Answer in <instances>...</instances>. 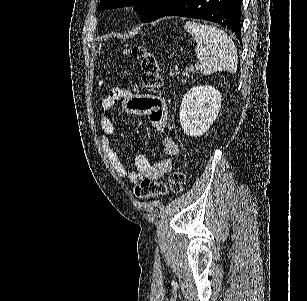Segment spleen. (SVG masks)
<instances>
[{
	"mask_svg": "<svg viewBox=\"0 0 307 301\" xmlns=\"http://www.w3.org/2000/svg\"><path fill=\"white\" fill-rule=\"evenodd\" d=\"M185 30L194 36L197 42L196 56L199 58V68L202 74H212L216 70L236 72L238 66L237 48L227 32L211 26L187 20Z\"/></svg>",
	"mask_w": 307,
	"mask_h": 301,
	"instance_id": "obj_1",
	"label": "spleen"
}]
</instances>
